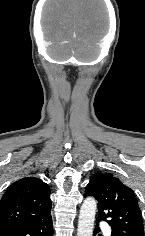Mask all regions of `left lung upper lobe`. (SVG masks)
<instances>
[{
	"label": "left lung upper lobe",
	"instance_id": "left-lung-upper-lobe-1",
	"mask_svg": "<svg viewBox=\"0 0 145 236\" xmlns=\"http://www.w3.org/2000/svg\"><path fill=\"white\" fill-rule=\"evenodd\" d=\"M98 204V218L112 228L111 236H144L141 211L134 192L109 173L94 175L85 189Z\"/></svg>",
	"mask_w": 145,
	"mask_h": 236
}]
</instances>
